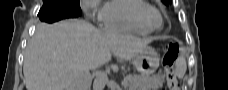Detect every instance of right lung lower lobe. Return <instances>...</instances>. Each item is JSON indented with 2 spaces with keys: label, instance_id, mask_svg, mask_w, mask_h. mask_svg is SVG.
Listing matches in <instances>:
<instances>
[{
  "label": "right lung lower lobe",
  "instance_id": "1",
  "mask_svg": "<svg viewBox=\"0 0 228 90\" xmlns=\"http://www.w3.org/2000/svg\"><path fill=\"white\" fill-rule=\"evenodd\" d=\"M38 16L41 21L49 23L56 22L61 19L71 18L68 15H65V13L60 12L56 6L47 4H43Z\"/></svg>",
  "mask_w": 228,
  "mask_h": 90
}]
</instances>
